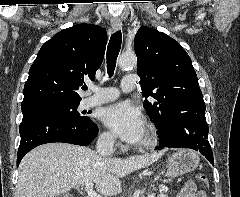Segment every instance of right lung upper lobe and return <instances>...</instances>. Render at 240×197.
<instances>
[{
    "label": "right lung upper lobe",
    "mask_w": 240,
    "mask_h": 197,
    "mask_svg": "<svg viewBox=\"0 0 240 197\" xmlns=\"http://www.w3.org/2000/svg\"><path fill=\"white\" fill-rule=\"evenodd\" d=\"M107 43L104 28L81 23L54 35L39 50L24 86L22 110L48 102H74L84 77L94 80Z\"/></svg>",
    "instance_id": "right-lung-upper-lobe-1"
}]
</instances>
